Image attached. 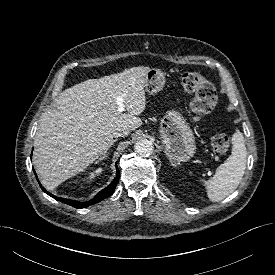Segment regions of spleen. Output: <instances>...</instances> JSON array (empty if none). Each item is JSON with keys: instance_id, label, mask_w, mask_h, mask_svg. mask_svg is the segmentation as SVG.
<instances>
[{"instance_id": "3e777b00", "label": "spleen", "mask_w": 275, "mask_h": 275, "mask_svg": "<svg viewBox=\"0 0 275 275\" xmlns=\"http://www.w3.org/2000/svg\"><path fill=\"white\" fill-rule=\"evenodd\" d=\"M232 144L231 155L217 168L212 179L204 181L208 198L213 202L230 195L238 187L246 169L247 150L239 130L233 134Z\"/></svg>"}]
</instances>
